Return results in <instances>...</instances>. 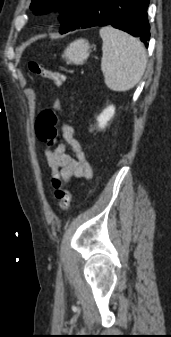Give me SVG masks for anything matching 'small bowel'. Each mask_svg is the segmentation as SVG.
<instances>
[{"mask_svg": "<svg viewBox=\"0 0 171 337\" xmlns=\"http://www.w3.org/2000/svg\"><path fill=\"white\" fill-rule=\"evenodd\" d=\"M54 109L61 112L62 106L59 101L54 104ZM63 143L55 149L46 147L44 156L51 169L52 182L55 178H61L64 184L72 179H89L92 177V167L85 152L74 137V129L71 125L64 123L61 126ZM71 152V154L69 153Z\"/></svg>", "mask_w": 171, "mask_h": 337, "instance_id": "small-bowel-1", "label": "small bowel"}]
</instances>
